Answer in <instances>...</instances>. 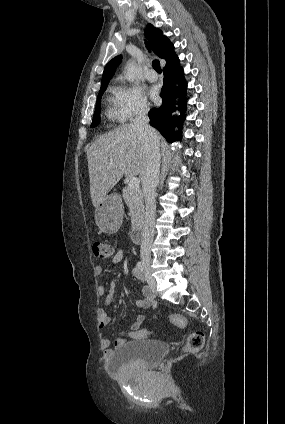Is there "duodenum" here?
Returning <instances> with one entry per match:
<instances>
[{"label": "duodenum", "instance_id": "duodenum-1", "mask_svg": "<svg viewBox=\"0 0 285 424\" xmlns=\"http://www.w3.org/2000/svg\"><path fill=\"white\" fill-rule=\"evenodd\" d=\"M132 240L134 243L139 244L144 240V229L142 226H137L132 232Z\"/></svg>", "mask_w": 285, "mask_h": 424}]
</instances>
